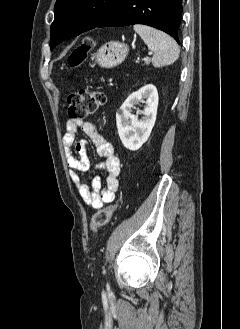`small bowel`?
<instances>
[{
	"mask_svg": "<svg viewBox=\"0 0 240 329\" xmlns=\"http://www.w3.org/2000/svg\"><path fill=\"white\" fill-rule=\"evenodd\" d=\"M79 129L93 143L97 154L103 158V162L98 165V168L107 172L105 186H103L100 177L93 178L89 186L80 175V172L89 169L90 161L87 155L86 140H77ZM63 146L67 164L71 168L70 177L83 201L94 209H100L105 204L113 202L119 187L120 164L114 155L112 145L96 129L94 124L82 119L68 120L66 133L63 136Z\"/></svg>",
	"mask_w": 240,
	"mask_h": 329,
	"instance_id": "small-bowel-1",
	"label": "small bowel"
}]
</instances>
